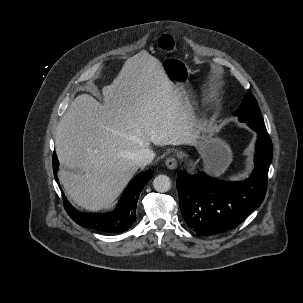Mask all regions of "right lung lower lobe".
Segmentation results:
<instances>
[{
  "mask_svg": "<svg viewBox=\"0 0 303 303\" xmlns=\"http://www.w3.org/2000/svg\"><path fill=\"white\" fill-rule=\"evenodd\" d=\"M58 166L59 161L56 153L54 152L53 172L56 182L60 187L57 177ZM152 176L153 171L140 173L136 176L127 186L118 203L117 209L113 212L105 214L79 212L63 195L65 210L77 224L83 227H88L106 233H120L127 231L136 220V207L140 192Z\"/></svg>",
  "mask_w": 303,
  "mask_h": 303,
  "instance_id": "obj_1",
  "label": "right lung lower lobe"
}]
</instances>
